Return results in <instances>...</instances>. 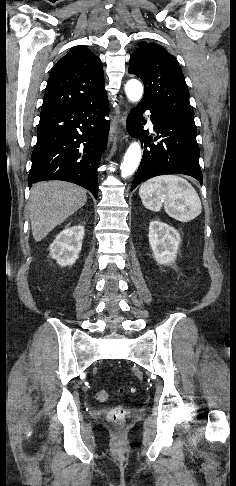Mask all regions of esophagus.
I'll list each match as a JSON object with an SVG mask.
<instances>
[{
  "mask_svg": "<svg viewBox=\"0 0 236 486\" xmlns=\"http://www.w3.org/2000/svg\"><path fill=\"white\" fill-rule=\"evenodd\" d=\"M126 115H127V111H124L122 113V115L120 116L118 121L116 119L113 120L112 126H111V131H110V141H112V139L114 138V134H115L116 128H117V123L119 122V124L121 126H124L125 121H126ZM121 131H122V128H121Z\"/></svg>",
  "mask_w": 236,
  "mask_h": 486,
  "instance_id": "34e87169",
  "label": "esophagus"
}]
</instances>
